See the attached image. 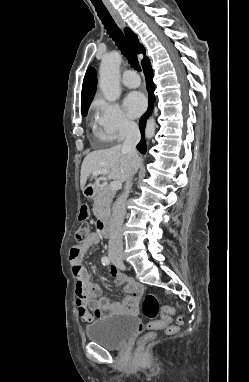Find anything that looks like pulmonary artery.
Returning a JSON list of instances; mask_svg holds the SVG:
<instances>
[{
	"instance_id": "pulmonary-artery-1",
	"label": "pulmonary artery",
	"mask_w": 249,
	"mask_h": 382,
	"mask_svg": "<svg viewBox=\"0 0 249 382\" xmlns=\"http://www.w3.org/2000/svg\"><path fill=\"white\" fill-rule=\"evenodd\" d=\"M122 83L128 88H136L140 85V78L134 71L127 70L123 74Z\"/></svg>"
}]
</instances>
